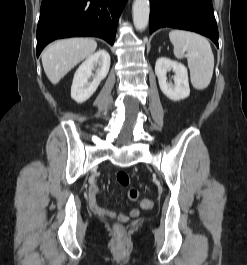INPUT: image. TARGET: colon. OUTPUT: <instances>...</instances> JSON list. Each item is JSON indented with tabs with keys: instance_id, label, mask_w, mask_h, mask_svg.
<instances>
[{
	"instance_id": "obj_1",
	"label": "colon",
	"mask_w": 247,
	"mask_h": 265,
	"mask_svg": "<svg viewBox=\"0 0 247 265\" xmlns=\"http://www.w3.org/2000/svg\"><path fill=\"white\" fill-rule=\"evenodd\" d=\"M116 182L118 185L121 187H128L130 183V177L129 174L125 171H119L116 174ZM128 198L132 201H140V205L143 209L149 210L153 207V201L150 199H141L139 191L131 188L128 190ZM117 231L121 232L122 231V226L118 225L116 227Z\"/></svg>"
}]
</instances>
